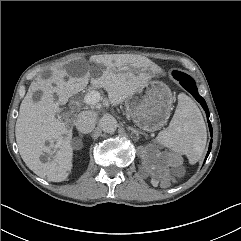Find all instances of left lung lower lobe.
<instances>
[{"mask_svg":"<svg viewBox=\"0 0 241 241\" xmlns=\"http://www.w3.org/2000/svg\"><path fill=\"white\" fill-rule=\"evenodd\" d=\"M173 76L174 78H176L177 80L180 81V84L188 91L190 92L193 97L201 104V106L203 107V109L205 110L206 112V115H207V120H208V124H209V129H210V132H211V136H212V127H211V123L209 121V111H208V107L206 105V102L205 100L198 94V90H197V87H196V84L194 82V80L184 74V73H181V72H178V71H175L173 73ZM211 146H212V140L210 142V145H209V149H208V153H207V156L205 158V161L207 159V157L209 156V153L211 151Z\"/></svg>","mask_w":241,"mask_h":241,"instance_id":"0a47b994","label":"left lung lower lobe"}]
</instances>
